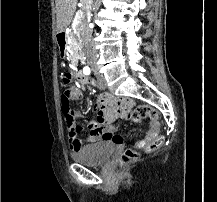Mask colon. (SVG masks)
Returning a JSON list of instances; mask_svg holds the SVG:
<instances>
[{"instance_id":"5ec220e1","label":"colon","mask_w":217,"mask_h":202,"mask_svg":"<svg viewBox=\"0 0 217 202\" xmlns=\"http://www.w3.org/2000/svg\"><path fill=\"white\" fill-rule=\"evenodd\" d=\"M70 90L63 89L60 94L62 112L64 114V119L69 130H73L75 127V122L72 114V109L69 105ZM143 118L148 119H159V114H156L155 107H149L148 104H141L140 107H136L134 113H131L130 119L133 123H136L138 126L141 124ZM164 141L163 137H156L152 143L148 145V151H152L159 147ZM137 153L133 150L128 149L120 158L121 162H126L131 159H135Z\"/></svg>"}]
</instances>
